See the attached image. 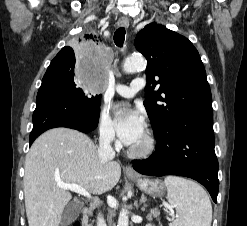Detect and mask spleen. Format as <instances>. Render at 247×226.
I'll list each match as a JSON object with an SVG mask.
<instances>
[{"label":"spleen","mask_w":247,"mask_h":226,"mask_svg":"<svg viewBox=\"0 0 247 226\" xmlns=\"http://www.w3.org/2000/svg\"><path fill=\"white\" fill-rule=\"evenodd\" d=\"M164 183L168 201L179 214L170 226H211V202L200 185L176 176H167Z\"/></svg>","instance_id":"spleen-1"}]
</instances>
